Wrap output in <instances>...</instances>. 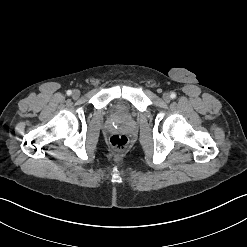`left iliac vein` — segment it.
<instances>
[{"label": "left iliac vein", "instance_id": "1", "mask_svg": "<svg viewBox=\"0 0 247 247\" xmlns=\"http://www.w3.org/2000/svg\"><path fill=\"white\" fill-rule=\"evenodd\" d=\"M170 99H171V97H170V94L169 93L166 92V93L163 94V100L165 102H169Z\"/></svg>", "mask_w": 247, "mask_h": 247}]
</instances>
